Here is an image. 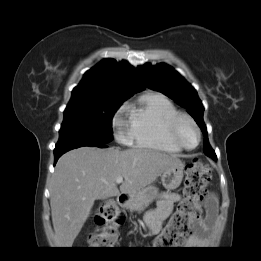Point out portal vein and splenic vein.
Here are the masks:
<instances>
[{
    "label": "portal vein and splenic vein",
    "instance_id": "obj_1",
    "mask_svg": "<svg viewBox=\"0 0 261 261\" xmlns=\"http://www.w3.org/2000/svg\"><path fill=\"white\" fill-rule=\"evenodd\" d=\"M123 182V177L116 178V184H120Z\"/></svg>",
    "mask_w": 261,
    "mask_h": 261
}]
</instances>
